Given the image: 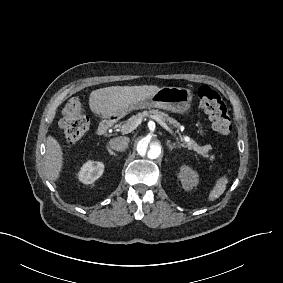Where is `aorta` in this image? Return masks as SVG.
Returning <instances> with one entry per match:
<instances>
[{
    "mask_svg": "<svg viewBox=\"0 0 283 283\" xmlns=\"http://www.w3.org/2000/svg\"><path fill=\"white\" fill-rule=\"evenodd\" d=\"M163 146L164 142L160 136L148 133L136 140L135 151L142 162L153 163L161 160Z\"/></svg>",
    "mask_w": 283,
    "mask_h": 283,
    "instance_id": "762f6f07",
    "label": "aorta"
}]
</instances>
